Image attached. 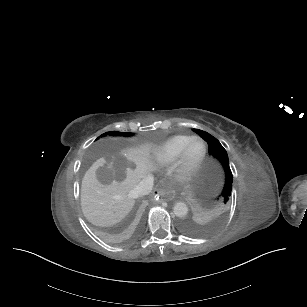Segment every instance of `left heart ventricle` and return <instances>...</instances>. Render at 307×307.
I'll use <instances>...</instances> for the list:
<instances>
[{"label": "left heart ventricle", "instance_id": "b2bd125f", "mask_svg": "<svg viewBox=\"0 0 307 307\" xmlns=\"http://www.w3.org/2000/svg\"><path fill=\"white\" fill-rule=\"evenodd\" d=\"M203 149L204 148L202 143L194 142L189 148L188 160L190 162H195L196 160H198L203 153Z\"/></svg>", "mask_w": 307, "mask_h": 307}]
</instances>
